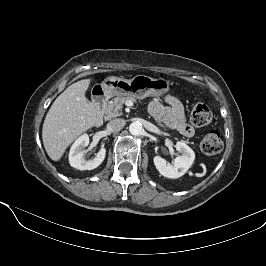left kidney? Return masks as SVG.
<instances>
[{"label": "left kidney", "instance_id": "obj_1", "mask_svg": "<svg viewBox=\"0 0 266 266\" xmlns=\"http://www.w3.org/2000/svg\"><path fill=\"white\" fill-rule=\"evenodd\" d=\"M175 147L181 155L176 157L173 165L167 163V161L160 156H155L153 158L154 165L159 173L170 179L183 176L192 166L195 159L194 151L184 142L178 141Z\"/></svg>", "mask_w": 266, "mask_h": 266}]
</instances>
